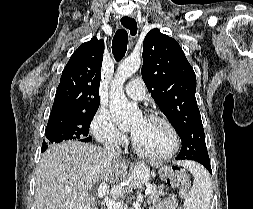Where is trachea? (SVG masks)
<instances>
[{
	"label": "trachea",
	"instance_id": "obj_1",
	"mask_svg": "<svg viewBox=\"0 0 253 209\" xmlns=\"http://www.w3.org/2000/svg\"><path fill=\"white\" fill-rule=\"evenodd\" d=\"M126 27L130 29V32H132L133 28L131 25H127ZM127 42L128 34L126 30H117L112 40V53L117 61H120L125 56Z\"/></svg>",
	"mask_w": 253,
	"mask_h": 209
}]
</instances>
